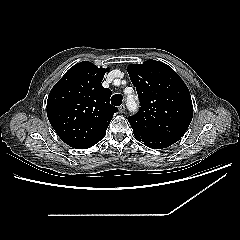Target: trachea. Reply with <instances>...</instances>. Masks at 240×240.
<instances>
[{"label": "trachea", "instance_id": "obj_1", "mask_svg": "<svg viewBox=\"0 0 240 240\" xmlns=\"http://www.w3.org/2000/svg\"><path fill=\"white\" fill-rule=\"evenodd\" d=\"M123 102V96L120 94H115L111 98V104L113 106H120Z\"/></svg>", "mask_w": 240, "mask_h": 240}]
</instances>
